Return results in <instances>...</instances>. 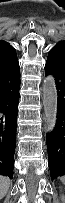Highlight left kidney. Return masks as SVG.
<instances>
[{
  "instance_id": "5707ae66",
  "label": "left kidney",
  "mask_w": 65,
  "mask_h": 203,
  "mask_svg": "<svg viewBox=\"0 0 65 203\" xmlns=\"http://www.w3.org/2000/svg\"><path fill=\"white\" fill-rule=\"evenodd\" d=\"M64 200H65V197H64V195L62 194V195H61V201H62V203H65Z\"/></svg>"
}]
</instances>
